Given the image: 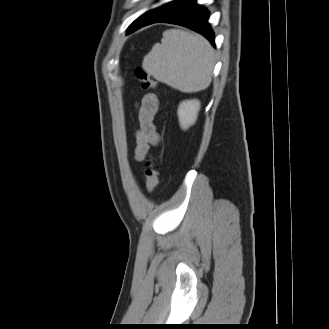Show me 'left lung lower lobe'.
I'll use <instances>...</instances> for the list:
<instances>
[{
	"mask_svg": "<svg viewBox=\"0 0 329 329\" xmlns=\"http://www.w3.org/2000/svg\"><path fill=\"white\" fill-rule=\"evenodd\" d=\"M209 14L205 8L195 3V0H176L146 12L135 20L128 28V34L133 31L158 22L171 23L190 28L215 46L214 33L207 22Z\"/></svg>",
	"mask_w": 329,
	"mask_h": 329,
	"instance_id": "left-lung-lower-lobe-1",
	"label": "left lung lower lobe"
}]
</instances>
